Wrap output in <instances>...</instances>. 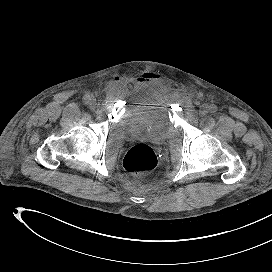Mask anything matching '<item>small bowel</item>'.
Wrapping results in <instances>:
<instances>
[{
  "label": "small bowel",
  "instance_id": "obj_1",
  "mask_svg": "<svg viewBox=\"0 0 272 272\" xmlns=\"http://www.w3.org/2000/svg\"><path fill=\"white\" fill-rule=\"evenodd\" d=\"M122 78L117 77L116 80H121ZM131 79L134 80L135 82H143L145 79L142 76L138 75H132Z\"/></svg>",
  "mask_w": 272,
  "mask_h": 272
}]
</instances>
